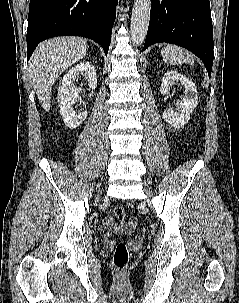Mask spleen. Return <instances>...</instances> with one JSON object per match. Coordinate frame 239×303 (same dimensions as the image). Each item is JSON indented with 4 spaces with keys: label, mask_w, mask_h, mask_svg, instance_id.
I'll list each match as a JSON object with an SVG mask.
<instances>
[{
    "label": "spleen",
    "mask_w": 239,
    "mask_h": 303,
    "mask_svg": "<svg viewBox=\"0 0 239 303\" xmlns=\"http://www.w3.org/2000/svg\"><path fill=\"white\" fill-rule=\"evenodd\" d=\"M161 55L163 57V61L170 65L183 63L193 65L195 61L194 55L186 49L176 45H167L161 50Z\"/></svg>",
    "instance_id": "3e777b00"
}]
</instances>
